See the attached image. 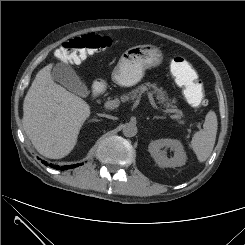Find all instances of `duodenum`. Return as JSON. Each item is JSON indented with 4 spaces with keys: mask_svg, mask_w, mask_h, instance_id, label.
I'll return each mask as SVG.
<instances>
[{
    "mask_svg": "<svg viewBox=\"0 0 245 245\" xmlns=\"http://www.w3.org/2000/svg\"><path fill=\"white\" fill-rule=\"evenodd\" d=\"M101 93V89L99 85H95L92 89V93H91V98L95 99L97 98Z\"/></svg>",
    "mask_w": 245,
    "mask_h": 245,
    "instance_id": "duodenum-1",
    "label": "duodenum"
}]
</instances>
